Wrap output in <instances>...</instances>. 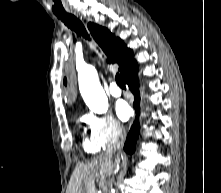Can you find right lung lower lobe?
Returning <instances> with one entry per match:
<instances>
[{
	"mask_svg": "<svg viewBox=\"0 0 221 193\" xmlns=\"http://www.w3.org/2000/svg\"><path fill=\"white\" fill-rule=\"evenodd\" d=\"M137 73H138V66L136 65L135 68L133 70H131L123 78L125 83L128 85L130 91L134 95L133 107L137 113L136 119L131 127V130H130V132L126 138V142L124 144V150L129 154H132L135 150V146L137 143V139L139 136V130H140V125H139L140 94H139V84H138Z\"/></svg>",
	"mask_w": 221,
	"mask_h": 193,
	"instance_id": "obj_1",
	"label": "right lung lower lobe"
}]
</instances>
